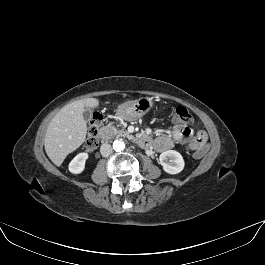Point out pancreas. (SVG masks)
I'll list each match as a JSON object with an SVG mask.
<instances>
[{
    "mask_svg": "<svg viewBox=\"0 0 265 265\" xmlns=\"http://www.w3.org/2000/svg\"><path fill=\"white\" fill-rule=\"evenodd\" d=\"M112 129V135L117 137H130L129 133L125 129L118 130L113 126V123L108 125Z\"/></svg>",
    "mask_w": 265,
    "mask_h": 265,
    "instance_id": "1",
    "label": "pancreas"
}]
</instances>
